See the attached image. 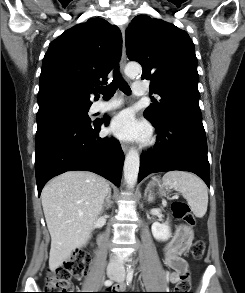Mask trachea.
I'll list each match as a JSON object with an SVG mask.
<instances>
[{
	"instance_id": "obj_1",
	"label": "trachea",
	"mask_w": 245,
	"mask_h": 293,
	"mask_svg": "<svg viewBox=\"0 0 245 293\" xmlns=\"http://www.w3.org/2000/svg\"><path fill=\"white\" fill-rule=\"evenodd\" d=\"M118 87L124 94H131L129 85L123 80L118 69H115L112 82L108 86L98 88L97 91L103 94L104 98H110L115 94Z\"/></svg>"
}]
</instances>
